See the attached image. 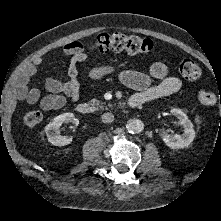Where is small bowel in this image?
Masks as SVG:
<instances>
[{
  "label": "small bowel",
  "instance_id": "small-bowel-1",
  "mask_svg": "<svg viewBox=\"0 0 221 221\" xmlns=\"http://www.w3.org/2000/svg\"><path fill=\"white\" fill-rule=\"evenodd\" d=\"M65 55L70 56L67 68L66 79L48 78L45 81V88L50 94L41 97L37 88H28V82L37 72L38 66L43 62L42 57H37L26 64L19 73L17 84L20 97L30 104L39 103L43 110H55L63 107L66 97L73 102L79 99V63L87 59V54L79 42H70L63 49ZM120 80L127 87L136 90L134 95H139L144 102L154 101L167 97L181 89L182 82L175 76H170L167 66L162 62H155L151 65L148 74L127 70L120 74ZM154 80L159 83L153 85Z\"/></svg>",
  "mask_w": 221,
  "mask_h": 221
}]
</instances>
